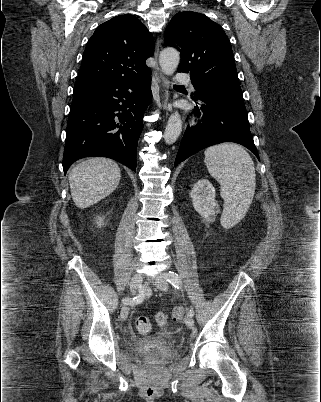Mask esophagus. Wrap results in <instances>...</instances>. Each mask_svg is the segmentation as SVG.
Here are the masks:
<instances>
[{
	"label": "esophagus",
	"mask_w": 321,
	"mask_h": 402,
	"mask_svg": "<svg viewBox=\"0 0 321 402\" xmlns=\"http://www.w3.org/2000/svg\"><path fill=\"white\" fill-rule=\"evenodd\" d=\"M159 48H160V39L157 40L155 52H154V57H155L156 61H157L158 55H159ZM154 75L156 77V81H157V84H158L160 90L163 92L161 94L163 110H165V111L170 110L171 106L168 104V93H167V88H168L169 83H168V80L165 77V75L161 72V70L158 66V63H156Z\"/></svg>",
	"instance_id": "1"
}]
</instances>
